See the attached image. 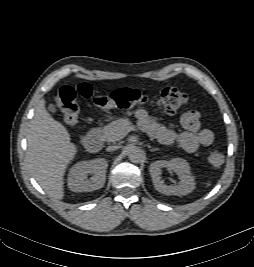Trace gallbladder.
<instances>
[{
  "mask_svg": "<svg viewBox=\"0 0 254 267\" xmlns=\"http://www.w3.org/2000/svg\"><path fill=\"white\" fill-rule=\"evenodd\" d=\"M48 110L52 113H55L57 111L56 106L54 104H49Z\"/></svg>",
  "mask_w": 254,
  "mask_h": 267,
  "instance_id": "bac80fb5",
  "label": "gallbladder"
}]
</instances>
